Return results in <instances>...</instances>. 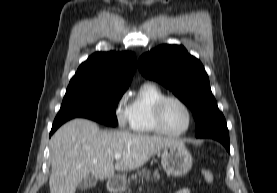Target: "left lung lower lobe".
Segmentation results:
<instances>
[{"label": "left lung lower lobe", "mask_w": 277, "mask_h": 193, "mask_svg": "<svg viewBox=\"0 0 277 193\" xmlns=\"http://www.w3.org/2000/svg\"><path fill=\"white\" fill-rule=\"evenodd\" d=\"M197 138H212L219 142H221L226 150L230 153V141H229V131L227 126L214 128L212 130L207 131L203 135Z\"/></svg>", "instance_id": "obj_1"}]
</instances>
